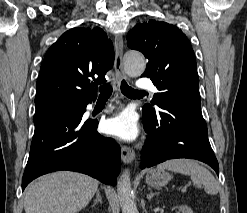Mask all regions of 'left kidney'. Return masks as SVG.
I'll return each mask as SVG.
<instances>
[{
  "label": "left kidney",
  "instance_id": "1",
  "mask_svg": "<svg viewBox=\"0 0 247 213\" xmlns=\"http://www.w3.org/2000/svg\"><path fill=\"white\" fill-rule=\"evenodd\" d=\"M178 209L181 213H193L191 208L188 206H180V207H178Z\"/></svg>",
  "mask_w": 247,
  "mask_h": 213
}]
</instances>
